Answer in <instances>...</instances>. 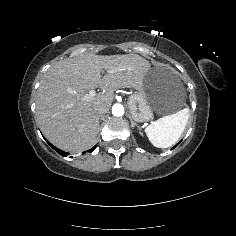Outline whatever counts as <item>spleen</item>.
Returning a JSON list of instances; mask_svg holds the SVG:
<instances>
[{"label": "spleen", "instance_id": "1", "mask_svg": "<svg viewBox=\"0 0 236 236\" xmlns=\"http://www.w3.org/2000/svg\"><path fill=\"white\" fill-rule=\"evenodd\" d=\"M189 108H184L175 114L158 119L146 127L145 132L151 143L157 148H168L174 145L188 123Z\"/></svg>", "mask_w": 236, "mask_h": 236}]
</instances>
